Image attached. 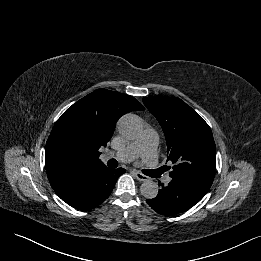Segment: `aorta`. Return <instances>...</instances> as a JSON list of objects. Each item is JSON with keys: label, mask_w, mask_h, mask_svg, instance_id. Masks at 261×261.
Listing matches in <instances>:
<instances>
[{"label": "aorta", "mask_w": 261, "mask_h": 261, "mask_svg": "<svg viewBox=\"0 0 261 261\" xmlns=\"http://www.w3.org/2000/svg\"><path fill=\"white\" fill-rule=\"evenodd\" d=\"M118 131L122 137L128 140L136 139L142 131V123L136 115H125L118 123ZM158 184L152 179H146L140 186L141 194L147 199H153L158 194Z\"/></svg>", "instance_id": "obj_1"}]
</instances>
